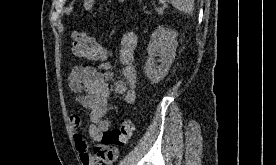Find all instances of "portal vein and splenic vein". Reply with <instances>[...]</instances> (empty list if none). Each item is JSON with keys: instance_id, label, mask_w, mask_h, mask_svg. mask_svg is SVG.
<instances>
[{"instance_id": "portal-vein-and-splenic-vein-1", "label": "portal vein and splenic vein", "mask_w": 276, "mask_h": 165, "mask_svg": "<svg viewBox=\"0 0 276 165\" xmlns=\"http://www.w3.org/2000/svg\"><path fill=\"white\" fill-rule=\"evenodd\" d=\"M163 10H164V7H161V8H158V9H157V12L160 14V13L163 12Z\"/></svg>"}]
</instances>
